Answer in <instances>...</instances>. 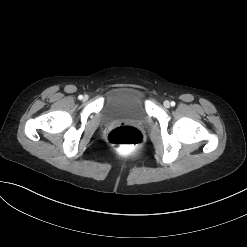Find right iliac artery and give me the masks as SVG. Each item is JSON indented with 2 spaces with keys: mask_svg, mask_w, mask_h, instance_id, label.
<instances>
[{
  "mask_svg": "<svg viewBox=\"0 0 247 247\" xmlns=\"http://www.w3.org/2000/svg\"><path fill=\"white\" fill-rule=\"evenodd\" d=\"M78 99H79V100H82V99H83V96H82V95H79V96H78Z\"/></svg>",
  "mask_w": 247,
  "mask_h": 247,
  "instance_id": "right-iliac-artery-1",
  "label": "right iliac artery"
}]
</instances>
